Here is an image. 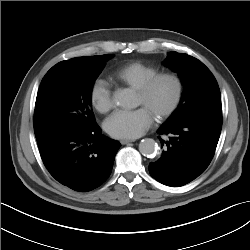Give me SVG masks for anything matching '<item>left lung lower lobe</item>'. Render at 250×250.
Returning <instances> with one entry per match:
<instances>
[{
  "label": "left lung lower lobe",
  "mask_w": 250,
  "mask_h": 250,
  "mask_svg": "<svg viewBox=\"0 0 250 250\" xmlns=\"http://www.w3.org/2000/svg\"><path fill=\"white\" fill-rule=\"evenodd\" d=\"M221 128V110L189 117L176 125L163 124L157 133L168 135L169 139L158 136L164 151L156 162L149 164L150 175L172 187L191 182L210 164Z\"/></svg>",
  "instance_id": "left-lung-lower-lobe-1"
}]
</instances>
